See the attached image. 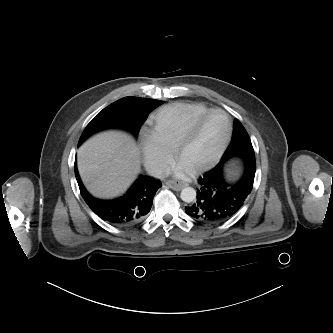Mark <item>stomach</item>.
<instances>
[{
    "instance_id": "0dacf381",
    "label": "stomach",
    "mask_w": 333,
    "mask_h": 333,
    "mask_svg": "<svg viewBox=\"0 0 333 333\" xmlns=\"http://www.w3.org/2000/svg\"><path fill=\"white\" fill-rule=\"evenodd\" d=\"M227 175L230 177L232 175H234V171H232V169H228L227 170Z\"/></svg>"
}]
</instances>
